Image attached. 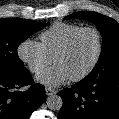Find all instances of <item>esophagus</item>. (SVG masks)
I'll list each match as a JSON object with an SVG mask.
<instances>
[{
  "label": "esophagus",
  "mask_w": 119,
  "mask_h": 119,
  "mask_svg": "<svg viewBox=\"0 0 119 119\" xmlns=\"http://www.w3.org/2000/svg\"><path fill=\"white\" fill-rule=\"evenodd\" d=\"M45 91H46V94L49 96L57 93V91L52 88H46Z\"/></svg>",
  "instance_id": "esophagus-1"
}]
</instances>
